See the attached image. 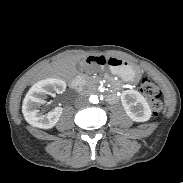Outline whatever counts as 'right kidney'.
<instances>
[{
    "mask_svg": "<svg viewBox=\"0 0 183 183\" xmlns=\"http://www.w3.org/2000/svg\"><path fill=\"white\" fill-rule=\"evenodd\" d=\"M66 89V83L58 78H49L34 84L24 98L22 112L25 120L34 127L50 129L56 125L63 109L55 107L47 114H43L39 108L45 103L47 94L52 91L62 93Z\"/></svg>",
    "mask_w": 183,
    "mask_h": 183,
    "instance_id": "obj_1",
    "label": "right kidney"
}]
</instances>
